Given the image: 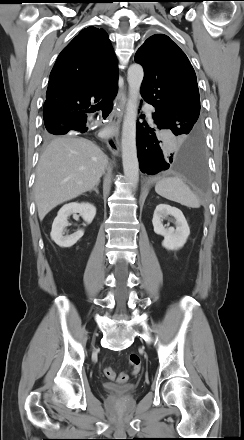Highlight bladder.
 <instances>
[{
  "mask_svg": "<svg viewBox=\"0 0 244 440\" xmlns=\"http://www.w3.org/2000/svg\"><path fill=\"white\" fill-rule=\"evenodd\" d=\"M102 388L107 393L119 398L131 396L135 392V387L132 385L120 386L113 383H105L102 385Z\"/></svg>",
  "mask_w": 244,
  "mask_h": 440,
  "instance_id": "31cf9c89",
  "label": "bladder"
}]
</instances>
